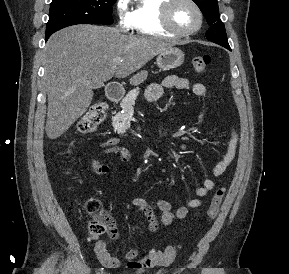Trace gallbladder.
I'll list each match as a JSON object with an SVG mask.
<instances>
[{
  "mask_svg": "<svg viewBox=\"0 0 289 274\" xmlns=\"http://www.w3.org/2000/svg\"><path fill=\"white\" fill-rule=\"evenodd\" d=\"M104 84L102 82H93V89L101 88Z\"/></svg>",
  "mask_w": 289,
  "mask_h": 274,
  "instance_id": "gallbladder-1",
  "label": "gallbladder"
}]
</instances>
